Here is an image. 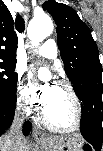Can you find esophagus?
<instances>
[{"label":"esophagus","instance_id":"obj_1","mask_svg":"<svg viewBox=\"0 0 103 151\" xmlns=\"http://www.w3.org/2000/svg\"><path fill=\"white\" fill-rule=\"evenodd\" d=\"M33 136L38 142H45L47 140V136L40 131L34 130Z\"/></svg>","mask_w":103,"mask_h":151}]
</instances>
